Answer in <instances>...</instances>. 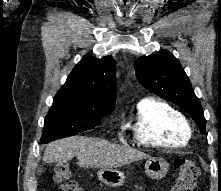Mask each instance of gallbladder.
<instances>
[{
	"label": "gallbladder",
	"mask_w": 221,
	"mask_h": 191,
	"mask_svg": "<svg viewBox=\"0 0 221 191\" xmlns=\"http://www.w3.org/2000/svg\"><path fill=\"white\" fill-rule=\"evenodd\" d=\"M44 171L43 167H38L37 168V174H41Z\"/></svg>",
	"instance_id": "obj_1"
}]
</instances>
